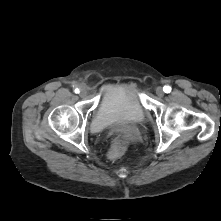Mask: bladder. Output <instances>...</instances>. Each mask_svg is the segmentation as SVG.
<instances>
[{
  "label": "bladder",
  "mask_w": 221,
  "mask_h": 221,
  "mask_svg": "<svg viewBox=\"0 0 221 221\" xmlns=\"http://www.w3.org/2000/svg\"><path fill=\"white\" fill-rule=\"evenodd\" d=\"M145 118V109L135 87L110 85L102 91L90 128L99 132L116 124H139Z\"/></svg>",
  "instance_id": "bladder-1"
}]
</instances>
